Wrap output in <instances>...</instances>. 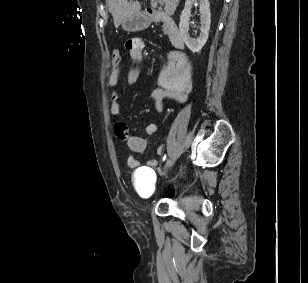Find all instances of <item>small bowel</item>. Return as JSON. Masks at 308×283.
<instances>
[{"mask_svg": "<svg viewBox=\"0 0 308 283\" xmlns=\"http://www.w3.org/2000/svg\"><path fill=\"white\" fill-rule=\"evenodd\" d=\"M144 42L140 38H132L125 44V48L128 51L130 58L134 61H140L144 50ZM120 68L115 67L112 69L108 77V85L114 87L119 80ZM140 77V70L138 68H132L127 75L128 84L134 85L138 82ZM192 90V78L191 70L188 60L185 56L175 52H171L168 55L167 64L164 67L160 78L159 88L152 92V98L155 100V108L157 112H161L166 100H176L183 102L187 100ZM110 113L112 116L119 115L121 111L120 95L117 92H112L110 96ZM159 126L157 124H149L146 127V132L149 135L157 133ZM114 132L118 139L125 141L129 149L135 153H142L147 147V140L144 137L132 135L128 126L122 122L117 121L114 126ZM163 146L158 147L157 154H162ZM149 166H155L157 161L155 159L148 160ZM138 162L129 157L127 159V165L129 167L138 166Z\"/></svg>", "mask_w": 308, "mask_h": 283, "instance_id": "1", "label": "small bowel"}]
</instances>
